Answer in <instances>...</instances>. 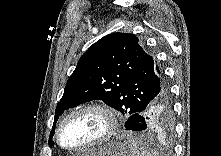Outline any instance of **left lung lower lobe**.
Wrapping results in <instances>:
<instances>
[{
    "mask_svg": "<svg viewBox=\"0 0 221 156\" xmlns=\"http://www.w3.org/2000/svg\"><path fill=\"white\" fill-rule=\"evenodd\" d=\"M160 81V84H157L154 99L127 119L124 125L126 130L155 132L161 135L173 133L174 115L171 92L164 75Z\"/></svg>",
    "mask_w": 221,
    "mask_h": 156,
    "instance_id": "0a47b994",
    "label": "left lung lower lobe"
}]
</instances>
